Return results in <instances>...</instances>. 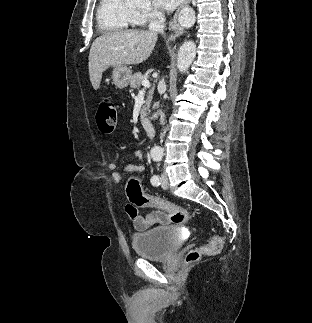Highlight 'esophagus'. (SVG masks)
Masks as SVG:
<instances>
[{"label": "esophagus", "instance_id": "obj_1", "mask_svg": "<svg viewBox=\"0 0 312 323\" xmlns=\"http://www.w3.org/2000/svg\"><path fill=\"white\" fill-rule=\"evenodd\" d=\"M191 2V0H183V3L177 8L175 14L173 15V18L170 21V35L169 39L171 41H175L180 35L183 34L184 29L178 24V15L180 13V10H182L183 7L188 5Z\"/></svg>", "mask_w": 312, "mask_h": 323}]
</instances>
